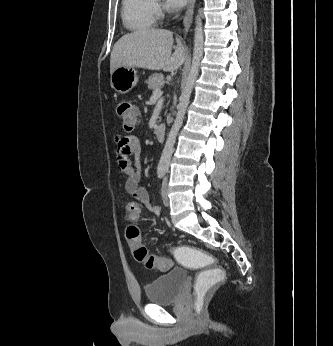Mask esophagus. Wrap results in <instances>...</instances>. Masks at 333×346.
<instances>
[{
	"label": "esophagus",
	"mask_w": 333,
	"mask_h": 346,
	"mask_svg": "<svg viewBox=\"0 0 333 346\" xmlns=\"http://www.w3.org/2000/svg\"><path fill=\"white\" fill-rule=\"evenodd\" d=\"M195 1L196 0H189L187 10H186L184 18H183V25H184V32L185 33L188 32V30L190 29L191 24H192Z\"/></svg>",
	"instance_id": "obj_1"
}]
</instances>
